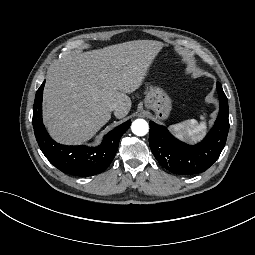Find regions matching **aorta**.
<instances>
[{"label":"aorta","instance_id":"obj_1","mask_svg":"<svg viewBox=\"0 0 255 255\" xmlns=\"http://www.w3.org/2000/svg\"><path fill=\"white\" fill-rule=\"evenodd\" d=\"M132 132L137 136H144L148 133L149 125L144 119H136L131 125Z\"/></svg>","mask_w":255,"mask_h":255}]
</instances>
